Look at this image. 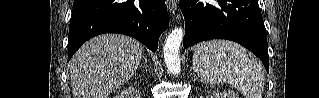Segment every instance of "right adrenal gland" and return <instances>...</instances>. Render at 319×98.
Segmentation results:
<instances>
[{
  "instance_id": "right-adrenal-gland-1",
  "label": "right adrenal gland",
  "mask_w": 319,
  "mask_h": 98,
  "mask_svg": "<svg viewBox=\"0 0 319 98\" xmlns=\"http://www.w3.org/2000/svg\"><path fill=\"white\" fill-rule=\"evenodd\" d=\"M140 66H145L147 68V58L144 57V62Z\"/></svg>"
}]
</instances>
